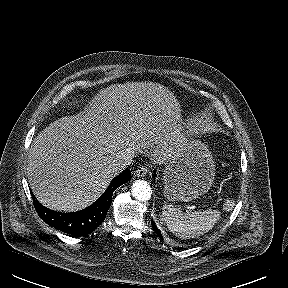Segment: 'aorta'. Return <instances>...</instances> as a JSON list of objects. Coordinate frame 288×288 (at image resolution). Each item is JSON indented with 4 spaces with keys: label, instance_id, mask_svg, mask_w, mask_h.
<instances>
[{
    "label": "aorta",
    "instance_id": "aorta-1",
    "mask_svg": "<svg viewBox=\"0 0 288 288\" xmlns=\"http://www.w3.org/2000/svg\"><path fill=\"white\" fill-rule=\"evenodd\" d=\"M133 197L139 201H147L151 198L152 190L145 180H136L131 187Z\"/></svg>",
    "mask_w": 288,
    "mask_h": 288
}]
</instances>
